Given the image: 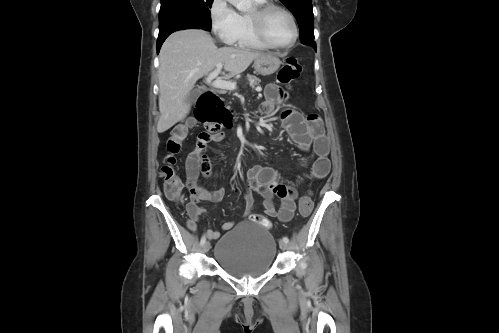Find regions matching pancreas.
I'll list each match as a JSON object with an SVG mask.
<instances>
[{"label": "pancreas", "instance_id": "obj_1", "mask_svg": "<svg viewBox=\"0 0 499 333\" xmlns=\"http://www.w3.org/2000/svg\"><path fill=\"white\" fill-rule=\"evenodd\" d=\"M247 78L249 79V81L251 82V85L252 86H258L259 83H260V79L257 78L256 76L254 75H251V74H248L247 75Z\"/></svg>", "mask_w": 499, "mask_h": 333}]
</instances>
